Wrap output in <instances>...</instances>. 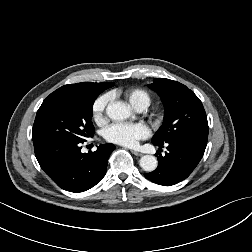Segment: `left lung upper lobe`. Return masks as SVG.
<instances>
[{"mask_svg": "<svg viewBox=\"0 0 252 252\" xmlns=\"http://www.w3.org/2000/svg\"><path fill=\"white\" fill-rule=\"evenodd\" d=\"M164 104V122L152 138L153 144L164 145L172 140L198 136L208 139V122L204 107L193 91L185 85L156 78L148 85Z\"/></svg>", "mask_w": 252, "mask_h": 252, "instance_id": "obj_1", "label": "left lung upper lobe"}]
</instances>
